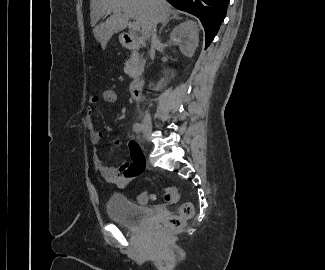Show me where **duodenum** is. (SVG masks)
Wrapping results in <instances>:
<instances>
[{
	"mask_svg": "<svg viewBox=\"0 0 325 270\" xmlns=\"http://www.w3.org/2000/svg\"><path fill=\"white\" fill-rule=\"evenodd\" d=\"M122 39L125 44V47L129 50H131L134 53H137L139 47H140V42L138 39L130 33L124 32L122 34ZM131 93L136 101H140L142 98V85L140 81H135L134 84L131 87Z\"/></svg>",
	"mask_w": 325,
	"mask_h": 270,
	"instance_id": "410a0bca",
	"label": "duodenum"
}]
</instances>
